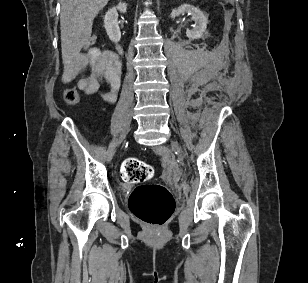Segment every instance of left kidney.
<instances>
[{
  "label": "left kidney",
  "mask_w": 308,
  "mask_h": 283,
  "mask_svg": "<svg viewBox=\"0 0 308 283\" xmlns=\"http://www.w3.org/2000/svg\"><path fill=\"white\" fill-rule=\"evenodd\" d=\"M184 13L190 14L191 20L195 22V26L192 30L187 29L186 31L187 37L190 39L201 38L207 28V18L205 17L204 13L200 11V9H198L197 7L188 4H183L177 9H174L171 12L170 17L174 19L175 17Z\"/></svg>",
  "instance_id": "1"
}]
</instances>
